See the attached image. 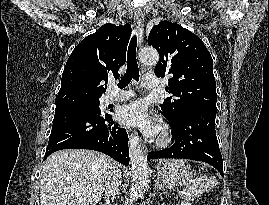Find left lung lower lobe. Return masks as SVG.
Here are the masks:
<instances>
[{
  "instance_id": "obj_1",
  "label": "left lung lower lobe",
  "mask_w": 269,
  "mask_h": 205,
  "mask_svg": "<svg viewBox=\"0 0 269 205\" xmlns=\"http://www.w3.org/2000/svg\"><path fill=\"white\" fill-rule=\"evenodd\" d=\"M216 111L196 110L183 114L176 121H169L172 147L151 152L147 160L158 158H181L202 161L212 165L223 176V161L215 133Z\"/></svg>"
}]
</instances>
